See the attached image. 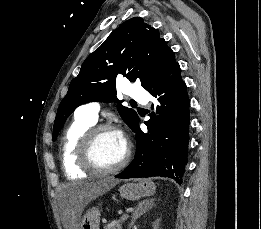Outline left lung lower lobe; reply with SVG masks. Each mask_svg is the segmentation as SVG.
<instances>
[{
    "label": "left lung lower lobe",
    "mask_w": 261,
    "mask_h": 229,
    "mask_svg": "<svg viewBox=\"0 0 261 229\" xmlns=\"http://www.w3.org/2000/svg\"><path fill=\"white\" fill-rule=\"evenodd\" d=\"M179 63L163 73L146 90L158 101L155 113L145 124L150 134L138 127L136 154L132 163L116 178L161 176L179 181L186 172L189 143V105L186 84L181 79Z\"/></svg>",
    "instance_id": "0a47b994"
}]
</instances>
